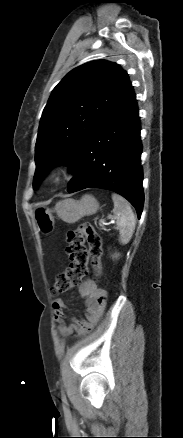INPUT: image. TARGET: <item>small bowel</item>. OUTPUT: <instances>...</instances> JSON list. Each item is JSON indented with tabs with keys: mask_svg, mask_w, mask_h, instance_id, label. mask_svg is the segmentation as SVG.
Returning <instances> with one entry per match:
<instances>
[{
	"mask_svg": "<svg viewBox=\"0 0 183 438\" xmlns=\"http://www.w3.org/2000/svg\"><path fill=\"white\" fill-rule=\"evenodd\" d=\"M79 295L85 299V319L71 318L70 324L66 325L65 301L61 298L53 302V310L56 321L59 323V331L69 335L76 331V337H80L91 331L101 319L107 300V293L97 288L93 281L86 280L78 286Z\"/></svg>",
	"mask_w": 183,
	"mask_h": 438,
	"instance_id": "1",
	"label": "small bowel"
}]
</instances>
